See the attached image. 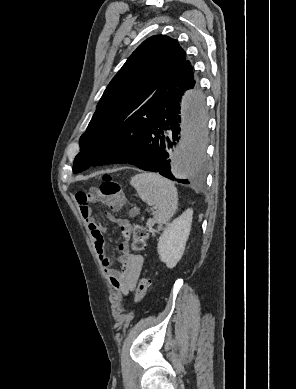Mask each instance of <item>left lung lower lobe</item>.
Listing matches in <instances>:
<instances>
[{"mask_svg":"<svg viewBox=\"0 0 296 389\" xmlns=\"http://www.w3.org/2000/svg\"><path fill=\"white\" fill-rule=\"evenodd\" d=\"M190 96L193 120L188 128L193 168L197 177L205 157L204 100L191 72L162 84L147 106L140 107L115 128L97 149L98 165L129 163L175 180L170 172L169 153L180 138L182 96ZM168 131V133H167ZM188 184V180H177Z\"/></svg>","mask_w":296,"mask_h":389,"instance_id":"0a47b994","label":"left lung lower lobe"}]
</instances>
